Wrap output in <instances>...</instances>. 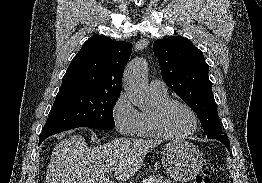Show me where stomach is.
Masks as SVG:
<instances>
[{"label": "stomach", "mask_w": 262, "mask_h": 183, "mask_svg": "<svg viewBox=\"0 0 262 183\" xmlns=\"http://www.w3.org/2000/svg\"><path fill=\"white\" fill-rule=\"evenodd\" d=\"M162 165L166 173L180 182L195 178L203 167V156L200 150L185 140H172L162 151Z\"/></svg>", "instance_id": "stomach-1"}]
</instances>
